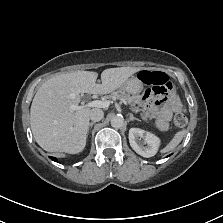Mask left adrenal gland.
I'll use <instances>...</instances> for the list:
<instances>
[{
	"instance_id": "1",
	"label": "left adrenal gland",
	"mask_w": 223,
	"mask_h": 223,
	"mask_svg": "<svg viewBox=\"0 0 223 223\" xmlns=\"http://www.w3.org/2000/svg\"><path fill=\"white\" fill-rule=\"evenodd\" d=\"M133 119L137 120V121H140V119L134 117L132 113H129V120H133Z\"/></svg>"
}]
</instances>
